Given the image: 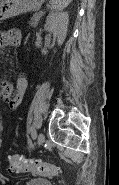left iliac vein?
Here are the masks:
<instances>
[{"label": "left iliac vein", "mask_w": 119, "mask_h": 185, "mask_svg": "<svg viewBox=\"0 0 119 185\" xmlns=\"http://www.w3.org/2000/svg\"><path fill=\"white\" fill-rule=\"evenodd\" d=\"M45 141V136L43 133H40L37 138V144L38 146L42 145Z\"/></svg>", "instance_id": "obj_1"}]
</instances>
